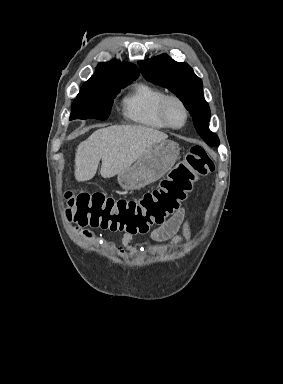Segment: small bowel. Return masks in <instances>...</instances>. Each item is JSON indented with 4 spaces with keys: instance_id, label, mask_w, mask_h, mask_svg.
Here are the masks:
<instances>
[{
    "instance_id": "small-bowel-1",
    "label": "small bowel",
    "mask_w": 283,
    "mask_h": 384,
    "mask_svg": "<svg viewBox=\"0 0 283 384\" xmlns=\"http://www.w3.org/2000/svg\"><path fill=\"white\" fill-rule=\"evenodd\" d=\"M80 232L87 238L92 236L89 231L82 230ZM149 235L150 238L156 242L169 241L172 245L179 243L182 237L188 236V223L184 209L177 210L161 226L152 230ZM132 239V234H124L122 243L118 248L121 253H136V249L131 245Z\"/></svg>"
}]
</instances>
